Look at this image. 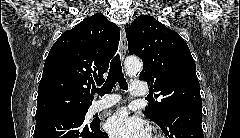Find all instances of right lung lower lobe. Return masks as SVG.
Returning a JSON list of instances; mask_svg holds the SVG:
<instances>
[{
    "label": "right lung lower lobe",
    "instance_id": "right-lung-lower-lobe-1",
    "mask_svg": "<svg viewBox=\"0 0 240 138\" xmlns=\"http://www.w3.org/2000/svg\"><path fill=\"white\" fill-rule=\"evenodd\" d=\"M99 121L85 124L73 113H63L36 120L33 138H108Z\"/></svg>",
    "mask_w": 240,
    "mask_h": 138
}]
</instances>
